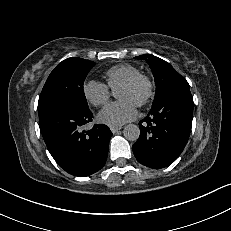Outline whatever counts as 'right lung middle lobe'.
<instances>
[{
  "instance_id": "obj_1",
  "label": "right lung middle lobe",
  "mask_w": 231,
  "mask_h": 231,
  "mask_svg": "<svg viewBox=\"0 0 231 231\" xmlns=\"http://www.w3.org/2000/svg\"><path fill=\"white\" fill-rule=\"evenodd\" d=\"M95 63L77 57L58 64L49 75L38 101L39 118L63 107L88 109L83 83Z\"/></svg>"
}]
</instances>
